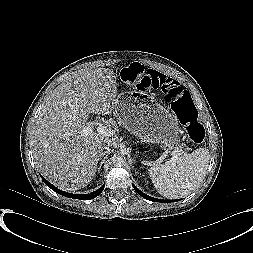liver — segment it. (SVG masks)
<instances>
[{"label": "liver", "mask_w": 253, "mask_h": 253, "mask_svg": "<svg viewBox=\"0 0 253 253\" xmlns=\"http://www.w3.org/2000/svg\"><path fill=\"white\" fill-rule=\"evenodd\" d=\"M116 76L108 68L81 69L48 97L32 130L36 168L58 188L76 191L96 175L106 145L115 139L83 134L89 114L115 113Z\"/></svg>", "instance_id": "6515ba94"}]
</instances>
